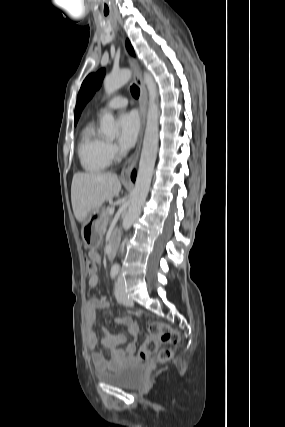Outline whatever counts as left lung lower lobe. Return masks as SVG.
<instances>
[{"label":"left lung lower lobe","mask_w":285,"mask_h":427,"mask_svg":"<svg viewBox=\"0 0 285 427\" xmlns=\"http://www.w3.org/2000/svg\"><path fill=\"white\" fill-rule=\"evenodd\" d=\"M136 173L135 171L132 173V180H135Z\"/></svg>","instance_id":"left-lung-lower-lobe-1"}]
</instances>
